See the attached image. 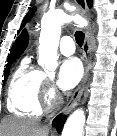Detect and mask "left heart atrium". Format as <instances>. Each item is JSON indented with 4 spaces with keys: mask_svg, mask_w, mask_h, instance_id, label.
<instances>
[{
    "mask_svg": "<svg viewBox=\"0 0 117 136\" xmlns=\"http://www.w3.org/2000/svg\"><path fill=\"white\" fill-rule=\"evenodd\" d=\"M83 75V68L80 61L74 57L62 61L58 72V86L68 90L76 86Z\"/></svg>",
    "mask_w": 117,
    "mask_h": 136,
    "instance_id": "39dd6f15",
    "label": "left heart atrium"
}]
</instances>
